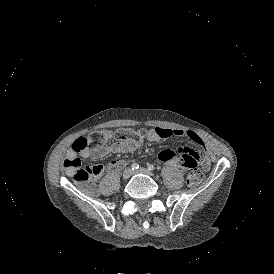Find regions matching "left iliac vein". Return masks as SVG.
Listing matches in <instances>:
<instances>
[{
  "mask_svg": "<svg viewBox=\"0 0 274 274\" xmlns=\"http://www.w3.org/2000/svg\"><path fill=\"white\" fill-rule=\"evenodd\" d=\"M136 174H145V175H148L150 177L154 176V174L151 171L147 170L146 168H140V169L135 170V171L132 172V175H136Z\"/></svg>",
  "mask_w": 274,
  "mask_h": 274,
  "instance_id": "left-iliac-vein-1",
  "label": "left iliac vein"
}]
</instances>
